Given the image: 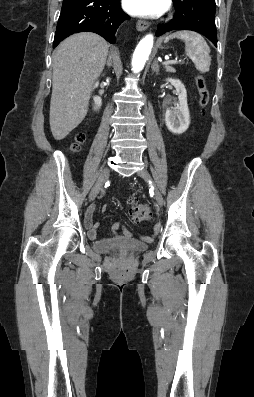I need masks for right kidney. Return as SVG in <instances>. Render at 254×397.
Wrapping results in <instances>:
<instances>
[{"label": "right kidney", "instance_id": "ca27d5eb", "mask_svg": "<svg viewBox=\"0 0 254 397\" xmlns=\"http://www.w3.org/2000/svg\"><path fill=\"white\" fill-rule=\"evenodd\" d=\"M97 86H98V82L95 83L94 87L96 88ZM93 101H94V109L99 110L102 105V99L99 96H94Z\"/></svg>", "mask_w": 254, "mask_h": 397}]
</instances>
